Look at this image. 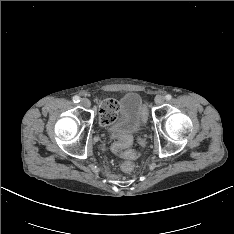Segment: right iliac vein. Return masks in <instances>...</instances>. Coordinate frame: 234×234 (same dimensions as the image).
I'll list each match as a JSON object with an SVG mask.
<instances>
[{
    "mask_svg": "<svg viewBox=\"0 0 234 234\" xmlns=\"http://www.w3.org/2000/svg\"><path fill=\"white\" fill-rule=\"evenodd\" d=\"M80 104L86 108H89L91 103L87 98H82Z\"/></svg>",
    "mask_w": 234,
    "mask_h": 234,
    "instance_id": "63e3f726",
    "label": "right iliac vein"
}]
</instances>
